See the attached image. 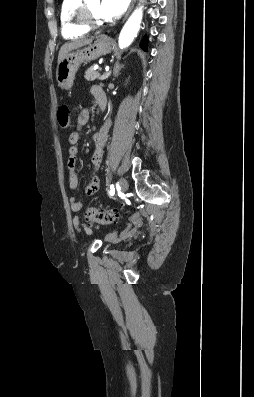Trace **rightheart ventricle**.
Instances as JSON below:
<instances>
[{
  "instance_id": "e07e8e85",
  "label": "right heart ventricle",
  "mask_w": 254,
  "mask_h": 397,
  "mask_svg": "<svg viewBox=\"0 0 254 397\" xmlns=\"http://www.w3.org/2000/svg\"><path fill=\"white\" fill-rule=\"evenodd\" d=\"M82 0H63L60 7L61 34L65 39L73 40L84 36L88 30L80 26L75 13Z\"/></svg>"
}]
</instances>
